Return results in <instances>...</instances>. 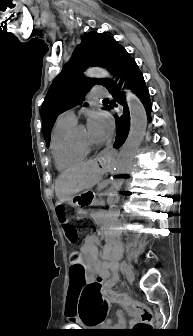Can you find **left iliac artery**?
<instances>
[{
  "label": "left iliac artery",
  "mask_w": 193,
  "mask_h": 336,
  "mask_svg": "<svg viewBox=\"0 0 193 336\" xmlns=\"http://www.w3.org/2000/svg\"><path fill=\"white\" fill-rule=\"evenodd\" d=\"M121 270H123V266L121 265Z\"/></svg>",
  "instance_id": "1"
}]
</instances>
